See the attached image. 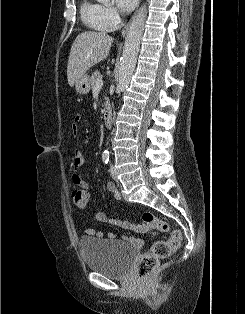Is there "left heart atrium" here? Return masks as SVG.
I'll use <instances>...</instances> for the list:
<instances>
[{"label":"left heart atrium","mask_w":245,"mask_h":314,"mask_svg":"<svg viewBox=\"0 0 245 314\" xmlns=\"http://www.w3.org/2000/svg\"><path fill=\"white\" fill-rule=\"evenodd\" d=\"M138 0H116L117 6L123 11L132 10Z\"/></svg>","instance_id":"obj_1"}]
</instances>
